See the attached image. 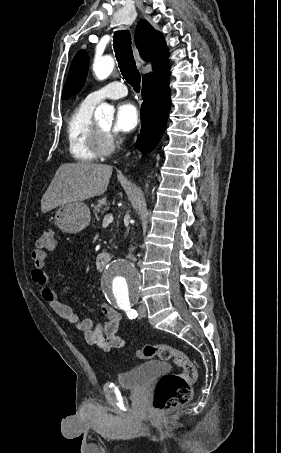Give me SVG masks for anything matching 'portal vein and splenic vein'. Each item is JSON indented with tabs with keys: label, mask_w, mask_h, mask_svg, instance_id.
<instances>
[{
	"label": "portal vein and splenic vein",
	"mask_w": 281,
	"mask_h": 453,
	"mask_svg": "<svg viewBox=\"0 0 281 453\" xmlns=\"http://www.w3.org/2000/svg\"><path fill=\"white\" fill-rule=\"evenodd\" d=\"M103 220L104 222H113V214H105Z\"/></svg>",
	"instance_id": "18ae733b"
}]
</instances>
